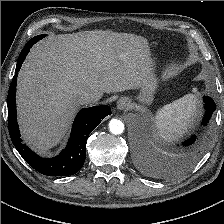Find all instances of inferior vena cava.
I'll list each match as a JSON object with an SVG mask.
<instances>
[{
	"label": "inferior vena cava",
	"instance_id": "602c4592",
	"mask_svg": "<svg viewBox=\"0 0 224 224\" xmlns=\"http://www.w3.org/2000/svg\"><path fill=\"white\" fill-rule=\"evenodd\" d=\"M98 100V95L91 92H85L79 97V101L82 105H92L97 103Z\"/></svg>",
	"mask_w": 224,
	"mask_h": 224
}]
</instances>
